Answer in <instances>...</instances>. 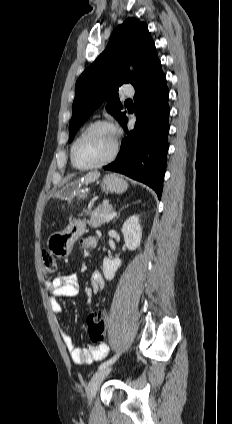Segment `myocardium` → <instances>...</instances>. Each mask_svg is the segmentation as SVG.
I'll return each instance as SVG.
<instances>
[{"mask_svg": "<svg viewBox=\"0 0 232 424\" xmlns=\"http://www.w3.org/2000/svg\"><path fill=\"white\" fill-rule=\"evenodd\" d=\"M107 128L109 130H111L114 134V143H113V148L110 152V154L104 158L103 160L91 164V165H79L76 161V148L79 144V142L92 130L96 129V128ZM119 147H120V134H119V130L118 128L109 121L106 120H98L93 122L92 124H90L88 127H86L81 133L80 135L77 137V139L74 141L72 148H71V161L72 164L74 165V167H76L79 170H90V169H95V168H99L102 167L108 163H110L111 161H113L115 159V157L118 154L119 151Z\"/></svg>", "mask_w": 232, "mask_h": 424, "instance_id": "myocardium-1", "label": "myocardium"}]
</instances>
